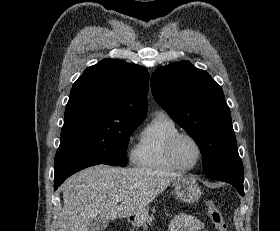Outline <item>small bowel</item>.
<instances>
[{
    "instance_id": "c3829d8e",
    "label": "small bowel",
    "mask_w": 280,
    "mask_h": 231,
    "mask_svg": "<svg viewBox=\"0 0 280 231\" xmlns=\"http://www.w3.org/2000/svg\"><path fill=\"white\" fill-rule=\"evenodd\" d=\"M203 229L204 224L199 219L179 214L171 221L168 231H203Z\"/></svg>"
}]
</instances>
